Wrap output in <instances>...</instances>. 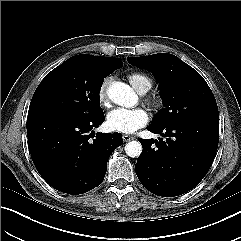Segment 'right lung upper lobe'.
Here are the masks:
<instances>
[{"mask_svg":"<svg viewBox=\"0 0 241 241\" xmlns=\"http://www.w3.org/2000/svg\"><path fill=\"white\" fill-rule=\"evenodd\" d=\"M82 66L92 68L99 71H115L121 68L123 63L118 58L101 57L87 54L76 55L74 57Z\"/></svg>","mask_w":241,"mask_h":241,"instance_id":"cb5924a9","label":"right lung upper lobe"}]
</instances>
